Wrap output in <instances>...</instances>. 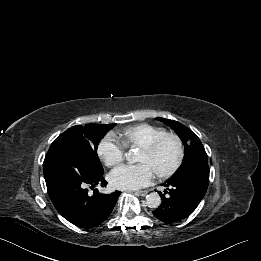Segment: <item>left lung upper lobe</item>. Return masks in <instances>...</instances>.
<instances>
[{"instance_id": "5c2ea615", "label": "left lung upper lobe", "mask_w": 261, "mask_h": 261, "mask_svg": "<svg viewBox=\"0 0 261 261\" xmlns=\"http://www.w3.org/2000/svg\"><path fill=\"white\" fill-rule=\"evenodd\" d=\"M157 119L170 125V127L174 129L181 138L185 146L184 161L178 171L171 178L185 175L195 169L208 165L207 154L201 141L194 132L177 121L160 117Z\"/></svg>"}]
</instances>
